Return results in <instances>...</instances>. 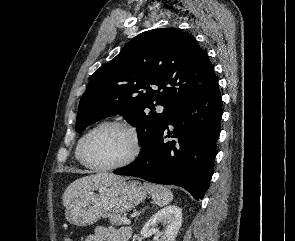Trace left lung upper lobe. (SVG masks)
I'll list each match as a JSON object with an SVG mask.
<instances>
[{
  "mask_svg": "<svg viewBox=\"0 0 295 241\" xmlns=\"http://www.w3.org/2000/svg\"><path fill=\"white\" fill-rule=\"evenodd\" d=\"M216 78L193 36L179 28L145 31L93 73L79 103L76 131L119 114L136 127L142 151L178 106ZM155 105L164 110L155 112Z\"/></svg>",
  "mask_w": 295,
  "mask_h": 241,
  "instance_id": "1",
  "label": "left lung upper lobe"
}]
</instances>
